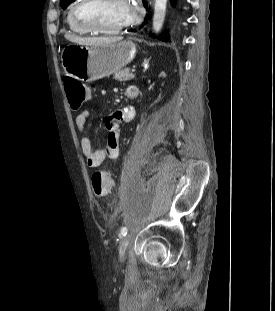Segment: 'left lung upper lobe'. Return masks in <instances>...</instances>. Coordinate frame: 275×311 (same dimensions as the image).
I'll use <instances>...</instances> for the list:
<instances>
[{
  "label": "left lung upper lobe",
  "instance_id": "obj_1",
  "mask_svg": "<svg viewBox=\"0 0 275 311\" xmlns=\"http://www.w3.org/2000/svg\"><path fill=\"white\" fill-rule=\"evenodd\" d=\"M74 0H61L60 5L63 9H66L67 6L72 3Z\"/></svg>",
  "mask_w": 275,
  "mask_h": 311
}]
</instances>
